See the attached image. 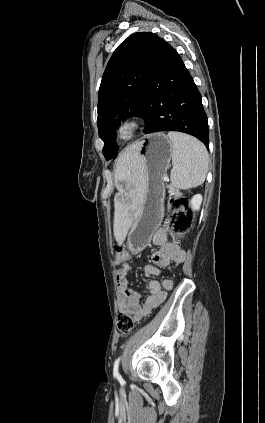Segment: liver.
Masks as SVG:
<instances>
[{"mask_svg":"<svg viewBox=\"0 0 265 423\" xmlns=\"http://www.w3.org/2000/svg\"><path fill=\"white\" fill-rule=\"evenodd\" d=\"M138 142L133 143L118 157L115 169V184L119 193L114 198L115 212L113 232L116 242L122 244L139 214L143 198L144 179L140 165L137 161ZM125 182L134 189L125 192L120 184ZM125 196L121 199L120 196Z\"/></svg>","mask_w":265,"mask_h":423,"instance_id":"liver-1","label":"liver"}]
</instances>
